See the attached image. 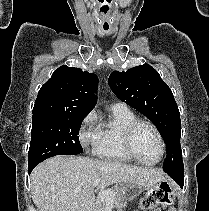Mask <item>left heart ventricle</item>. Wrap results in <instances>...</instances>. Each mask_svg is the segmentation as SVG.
I'll list each match as a JSON object with an SVG mask.
<instances>
[{
	"label": "left heart ventricle",
	"mask_w": 209,
	"mask_h": 211,
	"mask_svg": "<svg viewBox=\"0 0 209 211\" xmlns=\"http://www.w3.org/2000/svg\"><path fill=\"white\" fill-rule=\"evenodd\" d=\"M134 149L139 158L148 163L158 160L161 153L160 142L156 134L147 126H142L137 131Z\"/></svg>",
	"instance_id": "obj_1"
}]
</instances>
